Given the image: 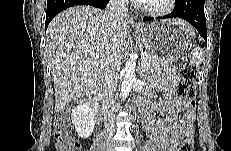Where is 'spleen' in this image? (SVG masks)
<instances>
[{
    "label": "spleen",
    "instance_id": "obj_1",
    "mask_svg": "<svg viewBox=\"0 0 231 151\" xmlns=\"http://www.w3.org/2000/svg\"><path fill=\"white\" fill-rule=\"evenodd\" d=\"M203 61V51L200 47H194L190 53V64L199 66Z\"/></svg>",
    "mask_w": 231,
    "mask_h": 151
}]
</instances>
